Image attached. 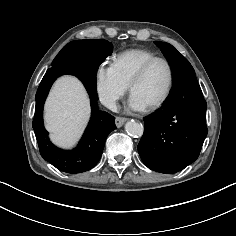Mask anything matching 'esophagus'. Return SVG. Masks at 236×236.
Returning a JSON list of instances; mask_svg holds the SVG:
<instances>
[{
    "label": "esophagus",
    "instance_id": "obj_1",
    "mask_svg": "<svg viewBox=\"0 0 236 236\" xmlns=\"http://www.w3.org/2000/svg\"><path fill=\"white\" fill-rule=\"evenodd\" d=\"M127 120L128 119L125 117H116V119H115L116 126L118 128L121 127Z\"/></svg>",
    "mask_w": 236,
    "mask_h": 236
}]
</instances>
